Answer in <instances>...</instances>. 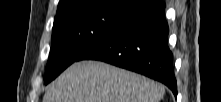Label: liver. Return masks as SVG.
<instances>
[{"label":"liver","instance_id":"obj_1","mask_svg":"<svg viewBox=\"0 0 221 102\" xmlns=\"http://www.w3.org/2000/svg\"><path fill=\"white\" fill-rule=\"evenodd\" d=\"M165 88L98 61L74 63L48 88L43 102H160Z\"/></svg>","mask_w":221,"mask_h":102}]
</instances>
